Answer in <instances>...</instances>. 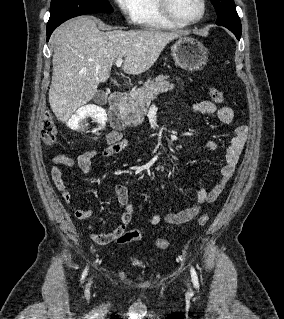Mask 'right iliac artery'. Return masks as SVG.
I'll use <instances>...</instances> for the list:
<instances>
[{
  "mask_svg": "<svg viewBox=\"0 0 284 319\" xmlns=\"http://www.w3.org/2000/svg\"><path fill=\"white\" fill-rule=\"evenodd\" d=\"M86 274H87V268L84 270V272H83V274H82V279H81V280H83V279L85 278Z\"/></svg>",
  "mask_w": 284,
  "mask_h": 319,
  "instance_id": "obj_1",
  "label": "right iliac artery"
}]
</instances>
